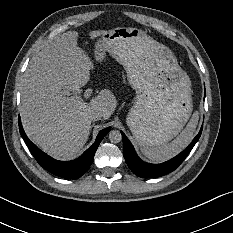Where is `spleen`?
Instances as JSON below:
<instances>
[{"label":"spleen","instance_id":"1","mask_svg":"<svg viewBox=\"0 0 233 233\" xmlns=\"http://www.w3.org/2000/svg\"><path fill=\"white\" fill-rule=\"evenodd\" d=\"M199 117V111H194L186 128L172 142L156 148H141V153L145 158L157 164L164 163L174 158L193 140Z\"/></svg>","mask_w":233,"mask_h":233}]
</instances>
